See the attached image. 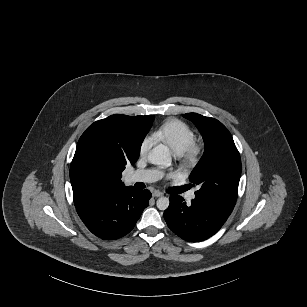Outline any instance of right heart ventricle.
Wrapping results in <instances>:
<instances>
[{
  "mask_svg": "<svg viewBox=\"0 0 307 307\" xmlns=\"http://www.w3.org/2000/svg\"><path fill=\"white\" fill-rule=\"evenodd\" d=\"M152 135L154 141L163 143L177 155L185 152L195 140L194 133L177 120H168L164 124L156 126Z\"/></svg>",
  "mask_w": 307,
  "mask_h": 307,
  "instance_id": "1",
  "label": "right heart ventricle"
}]
</instances>
